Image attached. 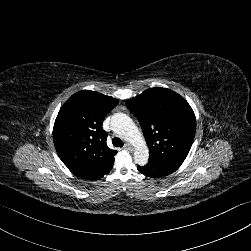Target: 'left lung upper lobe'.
<instances>
[{
    "label": "left lung upper lobe",
    "mask_w": 251,
    "mask_h": 251,
    "mask_svg": "<svg viewBox=\"0 0 251 251\" xmlns=\"http://www.w3.org/2000/svg\"><path fill=\"white\" fill-rule=\"evenodd\" d=\"M127 108L141 125L149 159L181 166L196 131V118L188 102L170 89L150 88L129 99Z\"/></svg>",
    "instance_id": "obj_1"
}]
</instances>
